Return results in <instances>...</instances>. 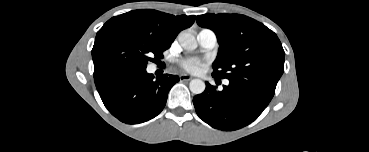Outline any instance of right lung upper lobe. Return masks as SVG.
Returning a JSON list of instances; mask_svg holds the SVG:
<instances>
[{
	"label": "right lung upper lobe",
	"instance_id": "obj_1",
	"mask_svg": "<svg viewBox=\"0 0 369 152\" xmlns=\"http://www.w3.org/2000/svg\"><path fill=\"white\" fill-rule=\"evenodd\" d=\"M195 16H173L152 9L133 10L111 18L106 24L116 23L132 27L164 47H170L180 31L190 27Z\"/></svg>",
	"mask_w": 369,
	"mask_h": 152
}]
</instances>
